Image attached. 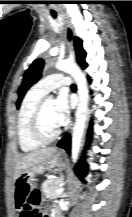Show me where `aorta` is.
Masks as SVG:
<instances>
[{
  "label": "aorta",
  "mask_w": 132,
  "mask_h": 217,
  "mask_svg": "<svg viewBox=\"0 0 132 217\" xmlns=\"http://www.w3.org/2000/svg\"><path fill=\"white\" fill-rule=\"evenodd\" d=\"M56 69L70 74L78 88L79 102L76 111L75 123L72 132L71 158L75 163L80 151L84 127L88 112V88L86 78L81 72L80 68L74 63L67 60H60L56 62Z\"/></svg>",
  "instance_id": "1"
}]
</instances>
